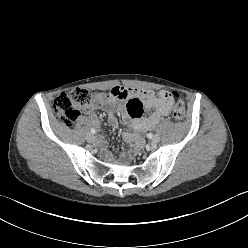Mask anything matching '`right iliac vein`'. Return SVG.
I'll use <instances>...</instances> for the list:
<instances>
[{
  "label": "right iliac vein",
  "mask_w": 248,
  "mask_h": 248,
  "mask_svg": "<svg viewBox=\"0 0 248 248\" xmlns=\"http://www.w3.org/2000/svg\"><path fill=\"white\" fill-rule=\"evenodd\" d=\"M86 139L89 143H93L95 141V136L88 134Z\"/></svg>",
  "instance_id": "obj_1"
}]
</instances>
